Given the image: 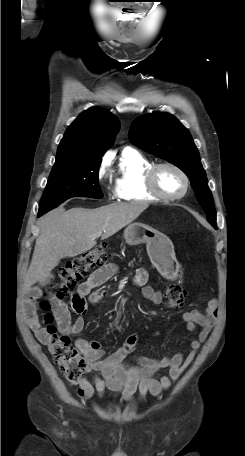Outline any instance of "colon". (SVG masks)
I'll return each mask as SVG.
<instances>
[{
  "mask_svg": "<svg viewBox=\"0 0 245 456\" xmlns=\"http://www.w3.org/2000/svg\"><path fill=\"white\" fill-rule=\"evenodd\" d=\"M108 259L107 245L102 244L69 260L60 268L58 280L52 283L55 291L41 302V308L46 312V330L50 335L49 351L66 379L73 384H78L91 370V364L80 355L66 334H59L50 311L59 307L63 295L75 288L92 268L105 266ZM184 299L185 291L179 284L170 283L167 286L164 303L168 307L179 308L183 305Z\"/></svg>",
  "mask_w": 245,
  "mask_h": 456,
  "instance_id": "1",
  "label": "colon"
}]
</instances>
